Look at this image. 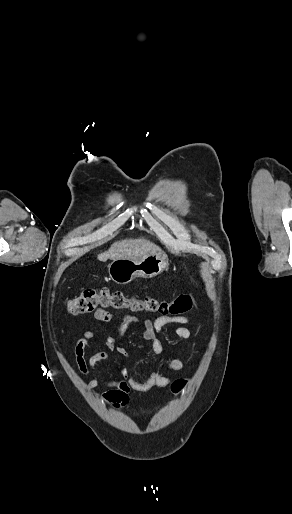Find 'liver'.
I'll return each mask as SVG.
<instances>
[{
    "mask_svg": "<svg viewBox=\"0 0 292 514\" xmlns=\"http://www.w3.org/2000/svg\"><path fill=\"white\" fill-rule=\"evenodd\" d=\"M158 246L149 242V240H122V242H115L112 244L108 252L99 254L98 260L100 262H106L108 258L110 260H119V258H129V260H135V258H141L149 252H157Z\"/></svg>",
    "mask_w": 292,
    "mask_h": 514,
    "instance_id": "obj_1",
    "label": "liver"
}]
</instances>
